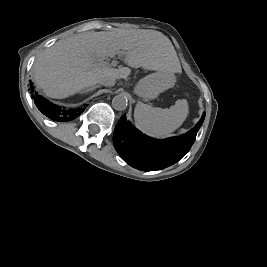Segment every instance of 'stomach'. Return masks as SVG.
Wrapping results in <instances>:
<instances>
[{
	"instance_id": "0dacf381",
	"label": "stomach",
	"mask_w": 267,
	"mask_h": 267,
	"mask_svg": "<svg viewBox=\"0 0 267 267\" xmlns=\"http://www.w3.org/2000/svg\"><path fill=\"white\" fill-rule=\"evenodd\" d=\"M175 76L167 71L158 70L142 78L135 86L134 93L145 100H152L160 93L171 88Z\"/></svg>"
}]
</instances>
